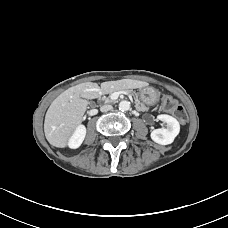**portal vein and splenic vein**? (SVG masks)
I'll return each mask as SVG.
<instances>
[{
    "mask_svg": "<svg viewBox=\"0 0 228 228\" xmlns=\"http://www.w3.org/2000/svg\"><path fill=\"white\" fill-rule=\"evenodd\" d=\"M120 93H123V94H127L126 92H116V93H113L112 95L113 96H116V98L119 96Z\"/></svg>",
    "mask_w": 228,
    "mask_h": 228,
    "instance_id": "obj_1",
    "label": "portal vein and splenic vein"
}]
</instances>
